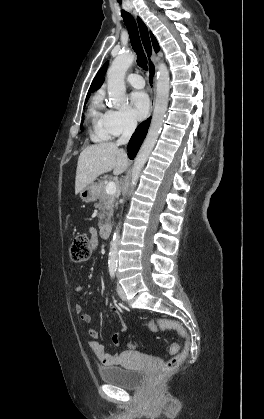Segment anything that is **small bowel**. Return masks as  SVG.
<instances>
[{"mask_svg":"<svg viewBox=\"0 0 264 419\" xmlns=\"http://www.w3.org/2000/svg\"><path fill=\"white\" fill-rule=\"evenodd\" d=\"M90 235H91V244L93 247L97 244V233L94 228L90 229ZM86 289V286L84 284H77L75 286V291L77 293H82ZM76 312L79 314L80 319L82 322L89 324L92 320L91 315L87 312H84L83 307L80 304H76L75 306ZM127 330V326L124 322H121V331L116 332L112 335V342L115 345H121V335ZM88 333L90 335V341L89 345L100 361V363L103 366L109 367V366H115L119 365L122 361L121 356L117 354H106L104 351V348L102 345L98 342L99 339V331L95 328H89ZM124 354H127L126 352Z\"/></svg>","mask_w":264,"mask_h":419,"instance_id":"small-bowel-1","label":"small bowel"}]
</instances>
